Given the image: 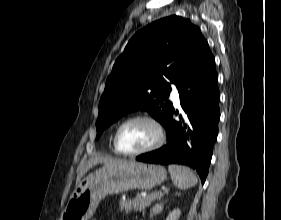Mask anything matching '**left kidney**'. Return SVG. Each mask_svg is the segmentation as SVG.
<instances>
[{
  "mask_svg": "<svg viewBox=\"0 0 281 220\" xmlns=\"http://www.w3.org/2000/svg\"><path fill=\"white\" fill-rule=\"evenodd\" d=\"M181 215V211L179 209H174L169 213L166 220H178Z\"/></svg>",
  "mask_w": 281,
  "mask_h": 220,
  "instance_id": "left-kidney-1",
  "label": "left kidney"
}]
</instances>
